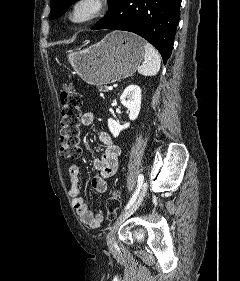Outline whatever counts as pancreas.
<instances>
[{
	"label": "pancreas",
	"mask_w": 240,
	"mask_h": 281,
	"mask_svg": "<svg viewBox=\"0 0 240 281\" xmlns=\"http://www.w3.org/2000/svg\"><path fill=\"white\" fill-rule=\"evenodd\" d=\"M107 88H108L107 86L99 87L98 90H99L100 92H107V91H108Z\"/></svg>",
	"instance_id": "obj_1"
}]
</instances>
